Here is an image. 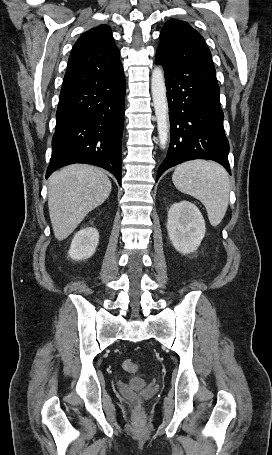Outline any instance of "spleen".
I'll use <instances>...</instances> for the list:
<instances>
[{
  "label": "spleen",
  "mask_w": 272,
  "mask_h": 455,
  "mask_svg": "<svg viewBox=\"0 0 272 455\" xmlns=\"http://www.w3.org/2000/svg\"><path fill=\"white\" fill-rule=\"evenodd\" d=\"M172 181L175 187L200 200L212 226L225 216L229 202V177L226 170L211 161L194 160L176 167Z\"/></svg>",
  "instance_id": "1"
}]
</instances>
